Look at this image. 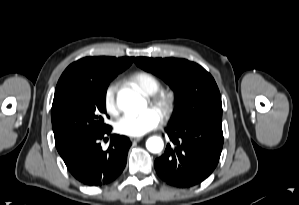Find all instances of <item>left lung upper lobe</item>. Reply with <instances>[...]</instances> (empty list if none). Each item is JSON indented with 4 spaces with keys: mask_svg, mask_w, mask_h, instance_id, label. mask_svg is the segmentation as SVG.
<instances>
[{
    "mask_svg": "<svg viewBox=\"0 0 299 205\" xmlns=\"http://www.w3.org/2000/svg\"><path fill=\"white\" fill-rule=\"evenodd\" d=\"M134 61L174 90L177 106L171 124L222 116L219 89L211 74L200 65L177 58L137 57Z\"/></svg>",
    "mask_w": 299,
    "mask_h": 205,
    "instance_id": "obj_1",
    "label": "left lung upper lobe"
}]
</instances>
